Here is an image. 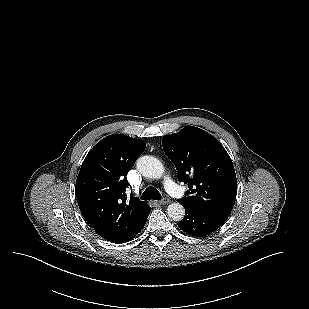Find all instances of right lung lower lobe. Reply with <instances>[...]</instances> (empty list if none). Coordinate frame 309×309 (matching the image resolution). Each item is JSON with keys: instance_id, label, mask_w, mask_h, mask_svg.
Returning <instances> with one entry per match:
<instances>
[{"instance_id": "98d812e1", "label": "right lung lower lobe", "mask_w": 309, "mask_h": 309, "mask_svg": "<svg viewBox=\"0 0 309 309\" xmlns=\"http://www.w3.org/2000/svg\"><path fill=\"white\" fill-rule=\"evenodd\" d=\"M150 211H151V208L149 209L148 214L144 218L142 223L139 226H137V228L134 231H132L131 233H129L128 235H126L124 237H121V238H118V239H115V240H111V242H113V243H125V242H128L131 239H133L142 230V228L144 227L145 222L147 220V217H148Z\"/></svg>"}]
</instances>
